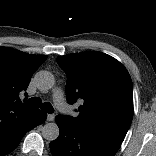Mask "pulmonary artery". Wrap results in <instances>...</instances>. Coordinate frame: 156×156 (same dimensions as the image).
Masks as SVG:
<instances>
[{
  "mask_svg": "<svg viewBox=\"0 0 156 156\" xmlns=\"http://www.w3.org/2000/svg\"><path fill=\"white\" fill-rule=\"evenodd\" d=\"M53 101L58 109L62 111H68V105L63 97L61 90H56L54 92Z\"/></svg>",
  "mask_w": 156,
  "mask_h": 156,
  "instance_id": "obj_1",
  "label": "pulmonary artery"
}]
</instances>
